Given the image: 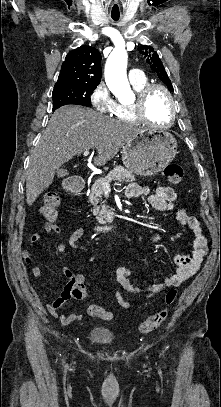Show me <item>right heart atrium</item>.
Instances as JSON below:
<instances>
[{"instance_id":"obj_1","label":"right heart atrium","mask_w":221,"mask_h":407,"mask_svg":"<svg viewBox=\"0 0 221 407\" xmlns=\"http://www.w3.org/2000/svg\"><path fill=\"white\" fill-rule=\"evenodd\" d=\"M90 102L98 112L105 114L113 113L116 107V101L104 82L99 83L92 91Z\"/></svg>"}]
</instances>
